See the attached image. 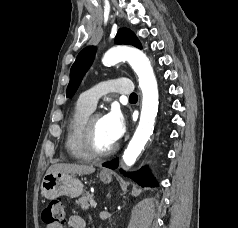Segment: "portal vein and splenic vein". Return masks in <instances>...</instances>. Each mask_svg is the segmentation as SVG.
<instances>
[{
  "mask_svg": "<svg viewBox=\"0 0 238 228\" xmlns=\"http://www.w3.org/2000/svg\"><path fill=\"white\" fill-rule=\"evenodd\" d=\"M90 205H91V207H96V202L94 201V199H92L90 201Z\"/></svg>",
  "mask_w": 238,
  "mask_h": 228,
  "instance_id": "1",
  "label": "portal vein and splenic vein"
}]
</instances>
